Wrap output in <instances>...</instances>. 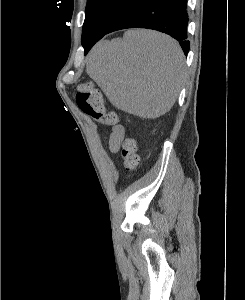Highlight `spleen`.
I'll use <instances>...</instances> for the list:
<instances>
[{"mask_svg": "<svg viewBox=\"0 0 245 300\" xmlns=\"http://www.w3.org/2000/svg\"><path fill=\"white\" fill-rule=\"evenodd\" d=\"M86 71L116 108L156 118L176 101L185 76L184 55L167 35L130 30L123 38L98 44Z\"/></svg>", "mask_w": 245, "mask_h": 300, "instance_id": "3e777b00", "label": "spleen"}]
</instances>
